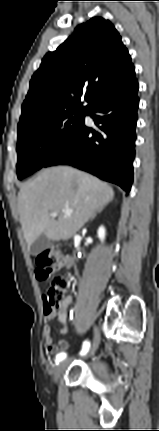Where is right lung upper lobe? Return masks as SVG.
<instances>
[{"label":"right lung upper lobe","mask_w":159,"mask_h":431,"mask_svg":"<svg viewBox=\"0 0 159 431\" xmlns=\"http://www.w3.org/2000/svg\"><path fill=\"white\" fill-rule=\"evenodd\" d=\"M134 78L135 69L121 36L110 21L94 17L44 56L30 81L18 130L58 113L88 112Z\"/></svg>","instance_id":"1"}]
</instances>
